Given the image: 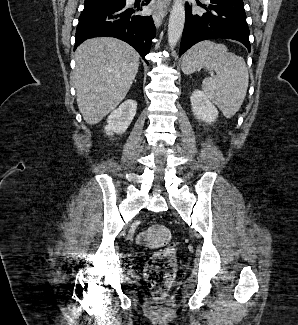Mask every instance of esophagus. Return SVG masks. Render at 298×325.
Masks as SVG:
<instances>
[{
  "label": "esophagus",
  "mask_w": 298,
  "mask_h": 325,
  "mask_svg": "<svg viewBox=\"0 0 298 325\" xmlns=\"http://www.w3.org/2000/svg\"><path fill=\"white\" fill-rule=\"evenodd\" d=\"M169 2L170 0H157L155 7L152 9V18L156 27H160L162 24L167 13V5Z\"/></svg>",
  "instance_id": "obj_1"
}]
</instances>
